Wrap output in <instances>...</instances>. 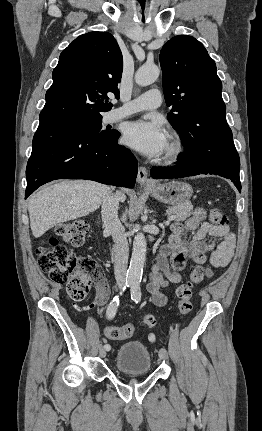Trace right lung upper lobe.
I'll return each mask as SVG.
<instances>
[{"instance_id":"cb5924a9","label":"right lung upper lobe","mask_w":262,"mask_h":431,"mask_svg":"<svg viewBox=\"0 0 262 431\" xmlns=\"http://www.w3.org/2000/svg\"><path fill=\"white\" fill-rule=\"evenodd\" d=\"M122 70V53L110 33L80 35L60 54L40 124L93 118L109 111L113 105L108 95L119 97Z\"/></svg>"}]
</instances>
